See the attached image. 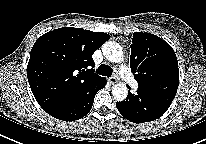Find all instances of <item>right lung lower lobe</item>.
<instances>
[{"label": "right lung lower lobe", "instance_id": "right-lung-lower-lobe-1", "mask_svg": "<svg viewBox=\"0 0 206 144\" xmlns=\"http://www.w3.org/2000/svg\"><path fill=\"white\" fill-rule=\"evenodd\" d=\"M105 85L106 79L102 78L79 100L51 114V116L64 121H74L83 118L91 110L97 91L104 88Z\"/></svg>", "mask_w": 206, "mask_h": 144}]
</instances>
